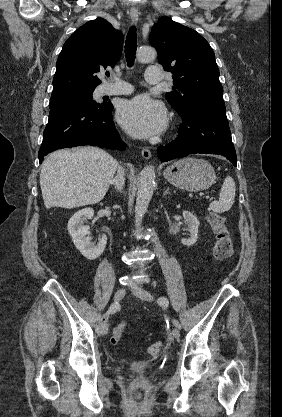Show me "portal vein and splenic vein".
Here are the masks:
<instances>
[{"mask_svg": "<svg viewBox=\"0 0 282 417\" xmlns=\"http://www.w3.org/2000/svg\"><path fill=\"white\" fill-rule=\"evenodd\" d=\"M197 196L205 197L208 201H214L215 197L212 194H207L206 192L197 193Z\"/></svg>", "mask_w": 282, "mask_h": 417, "instance_id": "1", "label": "portal vein and splenic vein"}]
</instances>
